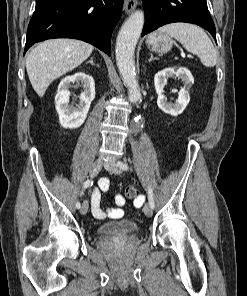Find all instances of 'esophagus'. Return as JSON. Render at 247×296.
<instances>
[{"mask_svg": "<svg viewBox=\"0 0 247 296\" xmlns=\"http://www.w3.org/2000/svg\"><path fill=\"white\" fill-rule=\"evenodd\" d=\"M137 6V0H124V9L125 12L131 13Z\"/></svg>", "mask_w": 247, "mask_h": 296, "instance_id": "34e87169", "label": "esophagus"}]
</instances>
